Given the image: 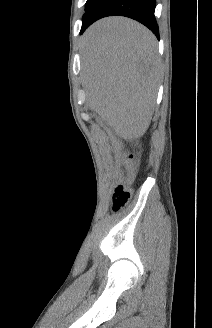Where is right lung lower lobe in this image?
Instances as JSON below:
<instances>
[{"label":"right lung lower lobe","mask_w":212,"mask_h":328,"mask_svg":"<svg viewBox=\"0 0 212 328\" xmlns=\"http://www.w3.org/2000/svg\"><path fill=\"white\" fill-rule=\"evenodd\" d=\"M156 0H97L87 12L80 34L96 20L112 15L132 18L148 27L159 39L155 19Z\"/></svg>","instance_id":"98d812e1"}]
</instances>
